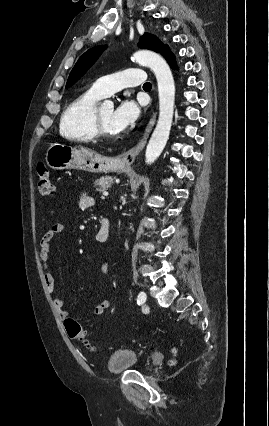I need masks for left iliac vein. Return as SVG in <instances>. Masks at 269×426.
Wrapping results in <instances>:
<instances>
[{
  "label": "left iliac vein",
  "instance_id": "4c4485c4",
  "mask_svg": "<svg viewBox=\"0 0 269 426\" xmlns=\"http://www.w3.org/2000/svg\"><path fill=\"white\" fill-rule=\"evenodd\" d=\"M142 309H143V311H148L149 310V307H148V305L147 304H144L143 306H142Z\"/></svg>",
  "mask_w": 269,
  "mask_h": 426
}]
</instances>
